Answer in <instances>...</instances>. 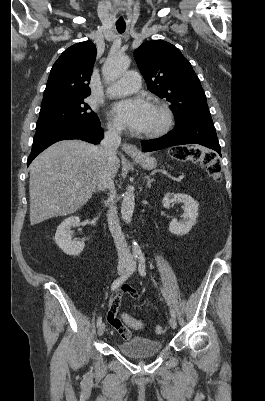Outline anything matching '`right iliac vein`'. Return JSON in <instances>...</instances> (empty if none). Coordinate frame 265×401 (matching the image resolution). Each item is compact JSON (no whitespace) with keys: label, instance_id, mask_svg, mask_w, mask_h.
Listing matches in <instances>:
<instances>
[{"label":"right iliac vein","instance_id":"right-iliac-vein-1","mask_svg":"<svg viewBox=\"0 0 265 401\" xmlns=\"http://www.w3.org/2000/svg\"><path fill=\"white\" fill-rule=\"evenodd\" d=\"M129 267H130V264H129V263L120 262V263L118 264V267H117V272H118V274H119V275H122L126 270L129 269ZM104 332H105V324L102 323V324L98 327V335H99V336H102V335L104 334Z\"/></svg>","mask_w":265,"mask_h":401}]
</instances>
